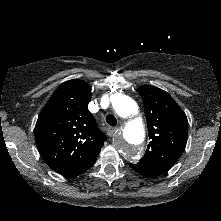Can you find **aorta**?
Instances as JSON below:
<instances>
[{"instance_id": "762f6f07", "label": "aorta", "mask_w": 221, "mask_h": 221, "mask_svg": "<svg viewBox=\"0 0 221 221\" xmlns=\"http://www.w3.org/2000/svg\"><path fill=\"white\" fill-rule=\"evenodd\" d=\"M112 107L117 115L125 120L122 130L116 138L117 148L126 159L134 161L141 154L145 138L142 119L133 118L138 111V106L130 97L117 93L112 96Z\"/></svg>"}]
</instances>
